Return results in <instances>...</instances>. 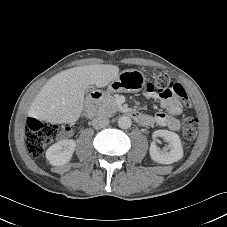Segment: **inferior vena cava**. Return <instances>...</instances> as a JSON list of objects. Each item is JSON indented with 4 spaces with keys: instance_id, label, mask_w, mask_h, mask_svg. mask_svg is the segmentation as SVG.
I'll return each mask as SVG.
<instances>
[{
    "instance_id": "602c4592",
    "label": "inferior vena cava",
    "mask_w": 227,
    "mask_h": 227,
    "mask_svg": "<svg viewBox=\"0 0 227 227\" xmlns=\"http://www.w3.org/2000/svg\"><path fill=\"white\" fill-rule=\"evenodd\" d=\"M109 124V119L106 116H97L92 120V126L95 129H101Z\"/></svg>"
}]
</instances>
